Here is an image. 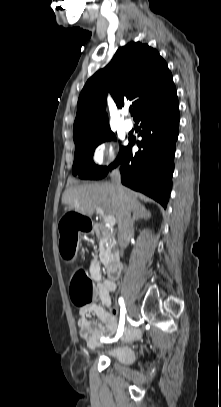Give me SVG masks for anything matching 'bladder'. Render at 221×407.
<instances>
[{"mask_svg":"<svg viewBox=\"0 0 221 407\" xmlns=\"http://www.w3.org/2000/svg\"><path fill=\"white\" fill-rule=\"evenodd\" d=\"M109 356L121 364H129L134 358V352L131 348L123 346L113 349Z\"/></svg>","mask_w":221,"mask_h":407,"instance_id":"bladder-1","label":"bladder"}]
</instances>
